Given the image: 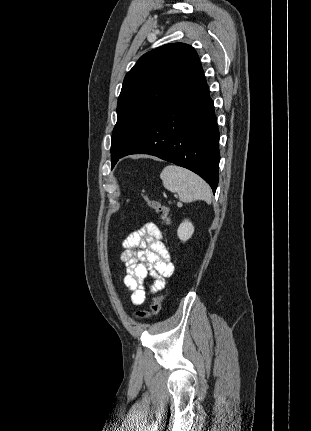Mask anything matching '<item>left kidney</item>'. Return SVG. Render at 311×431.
I'll use <instances>...</instances> for the list:
<instances>
[{
    "label": "left kidney",
    "mask_w": 311,
    "mask_h": 431,
    "mask_svg": "<svg viewBox=\"0 0 311 431\" xmlns=\"http://www.w3.org/2000/svg\"><path fill=\"white\" fill-rule=\"evenodd\" d=\"M194 225L189 219H184L177 229V235L182 241H187L193 235Z\"/></svg>",
    "instance_id": "left-kidney-1"
}]
</instances>
